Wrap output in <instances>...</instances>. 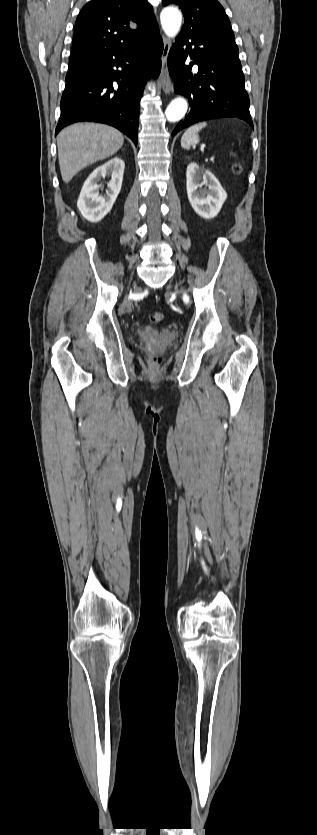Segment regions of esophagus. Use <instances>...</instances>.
Listing matches in <instances>:
<instances>
[{"mask_svg":"<svg viewBox=\"0 0 317 835\" xmlns=\"http://www.w3.org/2000/svg\"><path fill=\"white\" fill-rule=\"evenodd\" d=\"M170 40L166 37H163V49L161 53V75H160V84L162 89L165 93H170L173 90V84L171 82L168 68H167V58L170 51Z\"/></svg>","mask_w":317,"mask_h":835,"instance_id":"34e87169","label":"esophagus"}]
</instances>
